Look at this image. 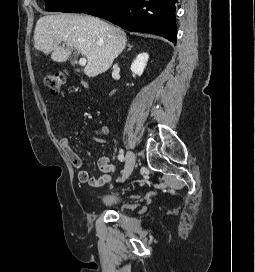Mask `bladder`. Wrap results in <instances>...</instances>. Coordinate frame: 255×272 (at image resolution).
<instances>
[{
    "instance_id": "1",
    "label": "bladder",
    "mask_w": 255,
    "mask_h": 272,
    "mask_svg": "<svg viewBox=\"0 0 255 272\" xmlns=\"http://www.w3.org/2000/svg\"><path fill=\"white\" fill-rule=\"evenodd\" d=\"M124 200H125L124 197L112 193L103 196L100 199L99 204L102 205L103 207L113 208L121 205L124 202Z\"/></svg>"
}]
</instances>
